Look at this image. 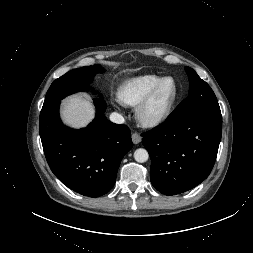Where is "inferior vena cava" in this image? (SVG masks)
Here are the masks:
<instances>
[{
  "mask_svg": "<svg viewBox=\"0 0 253 253\" xmlns=\"http://www.w3.org/2000/svg\"><path fill=\"white\" fill-rule=\"evenodd\" d=\"M110 120L116 124H123L125 121L124 117L121 114L116 113V112H113L110 114Z\"/></svg>",
  "mask_w": 253,
  "mask_h": 253,
  "instance_id": "602c4592",
  "label": "inferior vena cava"
}]
</instances>
